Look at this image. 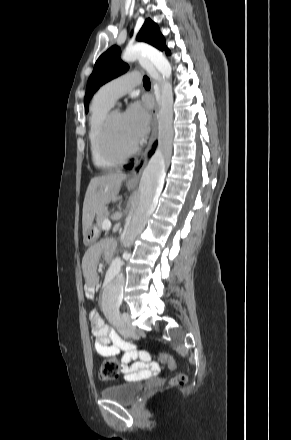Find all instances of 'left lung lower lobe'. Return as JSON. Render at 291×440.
Returning <instances> with one entry per match:
<instances>
[{
	"label": "left lung lower lobe",
	"mask_w": 291,
	"mask_h": 440,
	"mask_svg": "<svg viewBox=\"0 0 291 440\" xmlns=\"http://www.w3.org/2000/svg\"><path fill=\"white\" fill-rule=\"evenodd\" d=\"M125 168L130 169V168H132V165H127V166H125Z\"/></svg>",
	"instance_id": "obj_1"
}]
</instances>
